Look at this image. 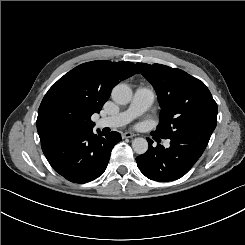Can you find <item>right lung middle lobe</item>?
Returning <instances> with one entry per match:
<instances>
[{
  "mask_svg": "<svg viewBox=\"0 0 245 245\" xmlns=\"http://www.w3.org/2000/svg\"><path fill=\"white\" fill-rule=\"evenodd\" d=\"M91 113L86 111H70L60 115L67 132L91 129L94 123L91 121Z\"/></svg>",
  "mask_w": 245,
  "mask_h": 245,
  "instance_id": "1",
  "label": "right lung middle lobe"
}]
</instances>
